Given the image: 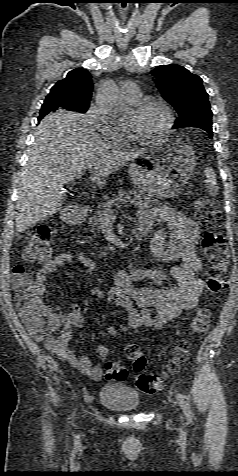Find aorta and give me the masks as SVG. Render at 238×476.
Masks as SVG:
<instances>
[{"label": "aorta", "mask_w": 238, "mask_h": 476, "mask_svg": "<svg viewBox=\"0 0 238 476\" xmlns=\"http://www.w3.org/2000/svg\"><path fill=\"white\" fill-rule=\"evenodd\" d=\"M97 103L110 119L116 120L126 113L127 108L122 103L119 91L112 81H106L102 85L97 96Z\"/></svg>", "instance_id": "1"}]
</instances>
